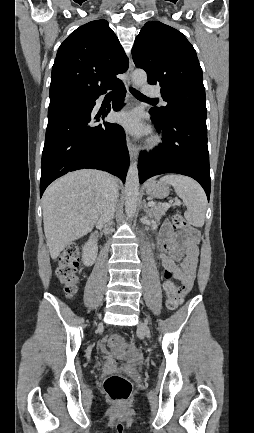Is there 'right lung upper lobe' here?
Instances as JSON below:
<instances>
[{"instance_id":"right-lung-upper-lobe-1","label":"right lung upper lobe","mask_w":254,"mask_h":433,"mask_svg":"<svg viewBox=\"0 0 254 433\" xmlns=\"http://www.w3.org/2000/svg\"><path fill=\"white\" fill-rule=\"evenodd\" d=\"M129 66L125 52L105 20L72 32L60 45L52 67L50 99L62 95L96 96L121 84L117 74Z\"/></svg>"}]
</instances>
